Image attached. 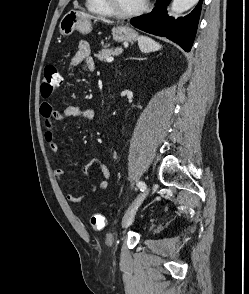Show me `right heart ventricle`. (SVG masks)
Returning a JSON list of instances; mask_svg holds the SVG:
<instances>
[{
    "label": "right heart ventricle",
    "instance_id": "obj_1",
    "mask_svg": "<svg viewBox=\"0 0 249 294\" xmlns=\"http://www.w3.org/2000/svg\"><path fill=\"white\" fill-rule=\"evenodd\" d=\"M86 7L88 11H90L93 14H97L101 16L110 15L108 9L103 4L102 0H86Z\"/></svg>",
    "mask_w": 249,
    "mask_h": 294
}]
</instances>
